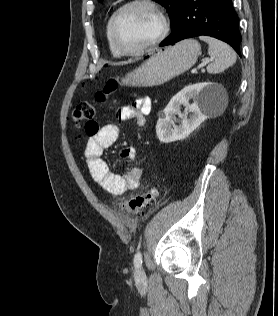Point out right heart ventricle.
Here are the masks:
<instances>
[{
  "label": "right heart ventricle",
  "mask_w": 278,
  "mask_h": 316,
  "mask_svg": "<svg viewBox=\"0 0 278 316\" xmlns=\"http://www.w3.org/2000/svg\"><path fill=\"white\" fill-rule=\"evenodd\" d=\"M111 18H112V15H110L105 23V37H106V40H107V43H108V46H109V49H110V52L111 54L114 56V57H120L122 56V54L115 48L113 42H112V39H111V33H110V22H111Z\"/></svg>",
  "instance_id": "right-heart-ventricle-1"
}]
</instances>
